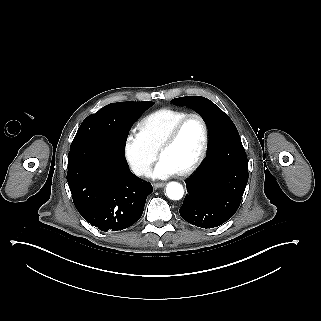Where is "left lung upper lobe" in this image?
<instances>
[{
  "instance_id": "5c2ea615",
  "label": "left lung upper lobe",
  "mask_w": 321,
  "mask_h": 321,
  "mask_svg": "<svg viewBox=\"0 0 321 321\" xmlns=\"http://www.w3.org/2000/svg\"><path fill=\"white\" fill-rule=\"evenodd\" d=\"M195 110L206 122L209 129V144L229 135H239L231 119L209 99L187 96L171 100Z\"/></svg>"
}]
</instances>
